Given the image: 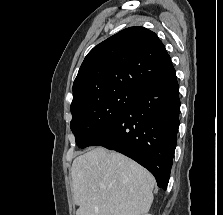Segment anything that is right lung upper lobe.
Masks as SVG:
<instances>
[{
    "label": "right lung upper lobe",
    "mask_w": 223,
    "mask_h": 215,
    "mask_svg": "<svg viewBox=\"0 0 223 215\" xmlns=\"http://www.w3.org/2000/svg\"><path fill=\"white\" fill-rule=\"evenodd\" d=\"M175 75L158 36L144 27H130L87 54L74 80L71 108L117 90L138 95Z\"/></svg>",
    "instance_id": "obj_1"
}]
</instances>
